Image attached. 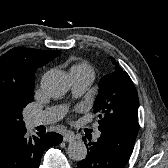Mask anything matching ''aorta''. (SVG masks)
<instances>
[{
  "label": "aorta",
  "instance_id": "obj_1",
  "mask_svg": "<svg viewBox=\"0 0 168 168\" xmlns=\"http://www.w3.org/2000/svg\"><path fill=\"white\" fill-rule=\"evenodd\" d=\"M70 81L68 75L60 70L49 71L41 79V88L50 97L58 98L69 90ZM67 153L72 160L81 161L86 158L87 147L82 141H74L69 144Z\"/></svg>",
  "mask_w": 168,
  "mask_h": 168
}]
</instances>
